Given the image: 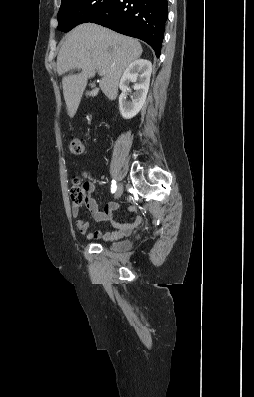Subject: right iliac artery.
I'll use <instances>...</instances> for the list:
<instances>
[{"label":"right iliac artery","instance_id":"82829eb1","mask_svg":"<svg viewBox=\"0 0 254 397\" xmlns=\"http://www.w3.org/2000/svg\"><path fill=\"white\" fill-rule=\"evenodd\" d=\"M116 188H117L116 181H115V180H112L111 192L114 193L115 190H116Z\"/></svg>","mask_w":254,"mask_h":397}]
</instances>
